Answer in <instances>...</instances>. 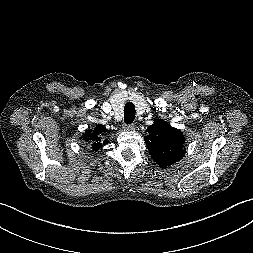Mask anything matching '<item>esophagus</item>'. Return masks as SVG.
<instances>
[{
	"label": "esophagus",
	"mask_w": 253,
	"mask_h": 253,
	"mask_svg": "<svg viewBox=\"0 0 253 253\" xmlns=\"http://www.w3.org/2000/svg\"><path fill=\"white\" fill-rule=\"evenodd\" d=\"M123 129L126 131H133L135 129V125L134 124H125L123 126Z\"/></svg>",
	"instance_id": "1"
}]
</instances>
